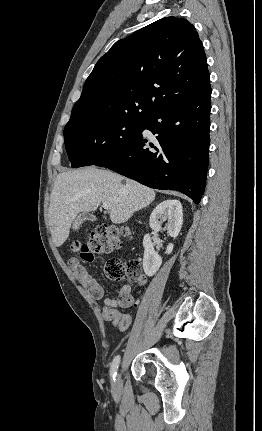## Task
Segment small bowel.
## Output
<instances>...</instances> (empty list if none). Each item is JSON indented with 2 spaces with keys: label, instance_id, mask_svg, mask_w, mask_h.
Returning a JSON list of instances; mask_svg holds the SVG:
<instances>
[{
  "label": "small bowel",
  "instance_id": "obj_1",
  "mask_svg": "<svg viewBox=\"0 0 262 431\" xmlns=\"http://www.w3.org/2000/svg\"><path fill=\"white\" fill-rule=\"evenodd\" d=\"M68 265L72 269L75 278L81 283V285L93 298L97 300L103 299L105 315L120 316L118 308H130L137 306L138 301L132 294L131 286H122L118 291V297L116 299L105 298L104 287L94 277L90 275V273L85 267L80 265L79 261L76 258L71 257L68 260ZM127 317L129 318V316ZM120 330L123 331L125 329Z\"/></svg>",
  "mask_w": 262,
  "mask_h": 431
}]
</instances>
